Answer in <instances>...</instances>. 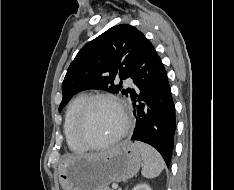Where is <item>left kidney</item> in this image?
I'll return each mask as SVG.
<instances>
[{
    "instance_id": "obj_1",
    "label": "left kidney",
    "mask_w": 234,
    "mask_h": 190,
    "mask_svg": "<svg viewBox=\"0 0 234 190\" xmlns=\"http://www.w3.org/2000/svg\"><path fill=\"white\" fill-rule=\"evenodd\" d=\"M132 190H152L149 185L145 183H141L139 185H136Z\"/></svg>"
}]
</instances>
